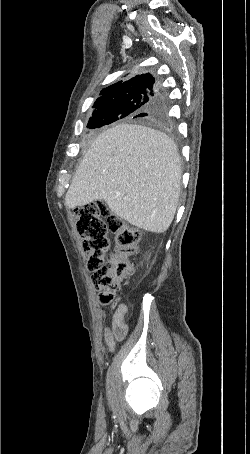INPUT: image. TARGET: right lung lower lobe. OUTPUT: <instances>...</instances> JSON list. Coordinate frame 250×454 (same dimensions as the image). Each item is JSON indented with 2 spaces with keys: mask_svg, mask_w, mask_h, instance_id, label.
<instances>
[{
  "mask_svg": "<svg viewBox=\"0 0 250 454\" xmlns=\"http://www.w3.org/2000/svg\"><path fill=\"white\" fill-rule=\"evenodd\" d=\"M151 110L155 116L162 119L166 118L168 113L167 97L161 94L160 98L152 104Z\"/></svg>",
  "mask_w": 250,
  "mask_h": 454,
  "instance_id": "right-lung-lower-lobe-1",
  "label": "right lung lower lobe"
}]
</instances>
